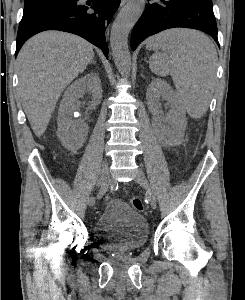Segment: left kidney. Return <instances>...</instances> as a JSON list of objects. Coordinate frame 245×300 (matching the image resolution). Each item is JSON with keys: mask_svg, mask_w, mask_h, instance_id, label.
I'll return each instance as SVG.
<instances>
[{"mask_svg": "<svg viewBox=\"0 0 245 300\" xmlns=\"http://www.w3.org/2000/svg\"><path fill=\"white\" fill-rule=\"evenodd\" d=\"M146 98L148 108L156 118V128L161 142L168 146L177 145L184 137L187 125L186 112L179 96L166 81L156 78L149 85ZM160 99L165 100L170 107L165 117H160L162 113ZM165 122L169 126H166Z\"/></svg>", "mask_w": 245, "mask_h": 300, "instance_id": "5707ae66", "label": "left kidney"}]
</instances>
